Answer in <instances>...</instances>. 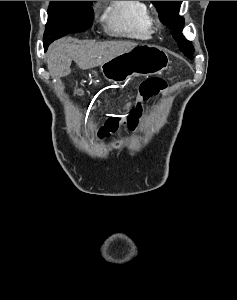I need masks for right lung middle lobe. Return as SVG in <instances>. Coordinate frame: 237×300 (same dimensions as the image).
<instances>
[{
	"label": "right lung middle lobe",
	"mask_w": 237,
	"mask_h": 300,
	"mask_svg": "<svg viewBox=\"0 0 237 300\" xmlns=\"http://www.w3.org/2000/svg\"><path fill=\"white\" fill-rule=\"evenodd\" d=\"M92 1H51L44 33L45 50L54 40L92 26Z\"/></svg>",
	"instance_id": "1"
}]
</instances>
